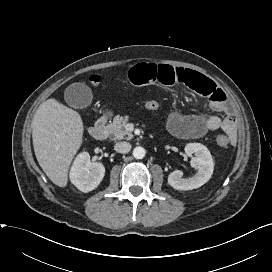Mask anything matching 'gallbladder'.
Returning <instances> with one entry per match:
<instances>
[{"label":"gallbladder","mask_w":272,"mask_h":272,"mask_svg":"<svg viewBox=\"0 0 272 272\" xmlns=\"http://www.w3.org/2000/svg\"><path fill=\"white\" fill-rule=\"evenodd\" d=\"M64 99L69 106L75 109H82L91 104L92 92L83 83H73L66 88Z\"/></svg>","instance_id":"obj_1"}]
</instances>
